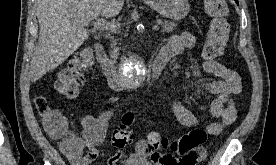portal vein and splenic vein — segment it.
<instances>
[{
	"label": "portal vein and splenic vein",
	"mask_w": 276,
	"mask_h": 165,
	"mask_svg": "<svg viewBox=\"0 0 276 165\" xmlns=\"http://www.w3.org/2000/svg\"><path fill=\"white\" fill-rule=\"evenodd\" d=\"M89 24V23H88ZM93 26L100 30H106V31H113L115 32L118 28V25L115 23H109L103 18L96 17L94 21L92 22ZM161 22H159L157 25L153 26V30H159V25Z\"/></svg>",
	"instance_id": "obj_1"
}]
</instances>
